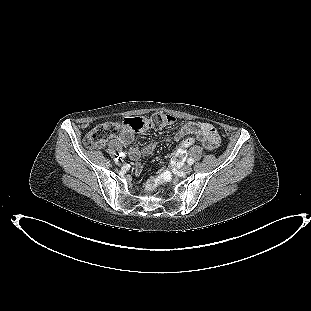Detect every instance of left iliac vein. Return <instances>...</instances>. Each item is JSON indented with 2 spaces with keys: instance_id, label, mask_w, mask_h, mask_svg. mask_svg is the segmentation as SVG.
Masks as SVG:
<instances>
[{
  "instance_id": "4c4485c4",
  "label": "left iliac vein",
  "mask_w": 311,
  "mask_h": 311,
  "mask_svg": "<svg viewBox=\"0 0 311 311\" xmlns=\"http://www.w3.org/2000/svg\"><path fill=\"white\" fill-rule=\"evenodd\" d=\"M181 171L184 173H190L192 171V167L190 165H185L181 168Z\"/></svg>"
}]
</instances>
